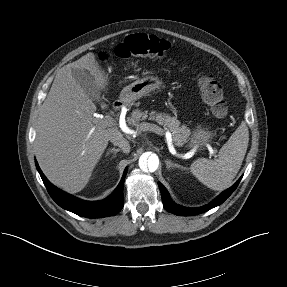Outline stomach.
Wrapping results in <instances>:
<instances>
[{
  "instance_id": "obj_1",
  "label": "stomach",
  "mask_w": 287,
  "mask_h": 287,
  "mask_svg": "<svg viewBox=\"0 0 287 287\" xmlns=\"http://www.w3.org/2000/svg\"><path fill=\"white\" fill-rule=\"evenodd\" d=\"M162 86L163 82L157 76L147 75L124 87L120 93V99L126 104H132L137 99L151 91L160 89ZM212 137V132L199 126L193 131L191 137L187 138L186 142L190 141L189 147H201L209 143Z\"/></svg>"
}]
</instances>
